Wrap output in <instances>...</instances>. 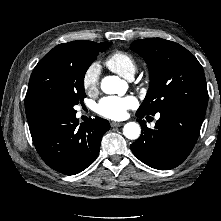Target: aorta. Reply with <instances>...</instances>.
I'll return each mask as SVG.
<instances>
[{
	"label": "aorta",
	"instance_id": "aorta-1",
	"mask_svg": "<svg viewBox=\"0 0 221 221\" xmlns=\"http://www.w3.org/2000/svg\"><path fill=\"white\" fill-rule=\"evenodd\" d=\"M101 89L106 94L124 95L127 84L118 76H106L101 81ZM123 134L130 140L138 139L141 134L140 125L136 122H128L123 127Z\"/></svg>",
	"mask_w": 221,
	"mask_h": 221
}]
</instances>
